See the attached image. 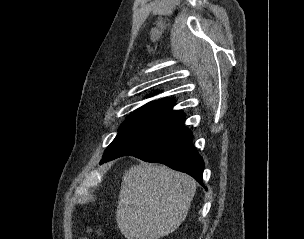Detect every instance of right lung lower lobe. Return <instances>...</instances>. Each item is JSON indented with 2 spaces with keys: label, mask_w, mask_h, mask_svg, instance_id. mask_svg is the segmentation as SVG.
<instances>
[{
  "label": "right lung lower lobe",
  "mask_w": 304,
  "mask_h": 239,
  "mask_svg": "<svg viewBox=\"0 0 304 239\" xmlns=\"http://www.w3.org/2000/svg\"><path fill=\"white\" fill-rule=\"evenodd\" d=\"M184 119L167 122L104 156L101 163L131 155L147 162L163 163L202 184L204 162L192 144V132L184 126Z\"/></svg>",
  "instance_id": "obj_1"
}]
</instances>
